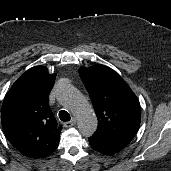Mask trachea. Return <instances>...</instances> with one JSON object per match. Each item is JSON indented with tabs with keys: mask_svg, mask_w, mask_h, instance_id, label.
Returning a JSON list of instances; mask_svg holds the SVG:
<instances>
[{
	"mask_svg": "<svg viewBox=\"0 0 171 171\" xmlns=\"http://www.w3.org/2000/svg\"><path fill=\"white\" fill-rule=\"evenodd\" d=\"M59 118H60V120L63 121V122L70 121V119H71L69 113H68L67 111H65V110H61V111L59 112Z\"/></svg>",
	"mask_w": 171,
	"mask_h": 171,
	"instance_id": "1",
	"label": "trachea"
}]
</instances>
